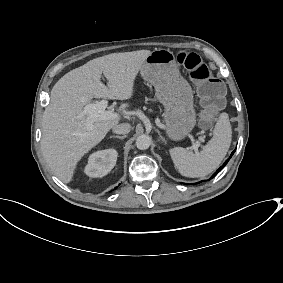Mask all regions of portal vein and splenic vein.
<instances>
[{"instance_id":"portal-vein-and-splenic-vein-1","label":"portal vein and splenic vein","mask_w":283,"mask_h":283,"mask_svg":"<svg viewBox=\"0 0 283 283\" xmlns=\"http://www.w3.org/2000/svg\"><path fill=\"white\" fill-rule=\"evenodd\" d=\"M109 101L107 99H103L98 103L95 104H87L84 107L83 112L78 116H88L87 118V126L91 129V124L96 120H104V119H112L114 118V114L110 111H105ZM200 146L199 142L194 143L192 146L189 147V150L198 152V147Z\"/></svg>"}]
</instances>
